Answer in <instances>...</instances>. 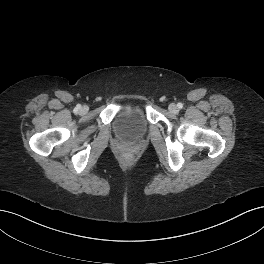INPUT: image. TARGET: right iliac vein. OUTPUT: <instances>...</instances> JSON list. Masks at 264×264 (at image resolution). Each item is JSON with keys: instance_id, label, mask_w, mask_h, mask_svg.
<instances>
[{"instance_id": "63e3f726", "label": "right iliac vein", "mask_w": 264, "mask_h": 264, "mask_svg": "<svg viewBox=\"0 0 264 264\" xmlns=\"http://www.w3.org/2000/svg\"><path fill=\"white\" fill-rule=\"evenodd\" d=\"M86 111H87V107L86 106L81 108V112H86Z\"/></svg>"}]
</instances>
